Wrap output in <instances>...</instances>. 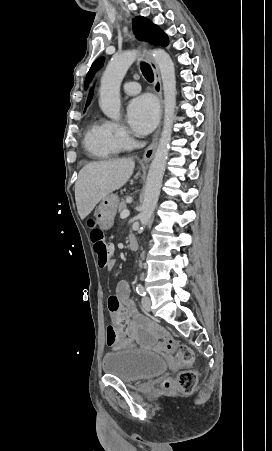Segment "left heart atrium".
I'll list each match as a JSON object with an SVG mask.
<instances>
[{"label": "left heart atrium", "instance_id": "1", "mask_svg": "<svg viewBox=\"0 0 272 451\" xmlns=\"http://www.w3.org/2000/svg\"><path fill=\"white\" fill-rule=\"evenodd\" d=\"M158 110L154 98L142 96L132 101L128 108V123L137 134H146L155 126Z\"/></svg>", "mask_w": 272, "mask_h": 451}]
</instances>
